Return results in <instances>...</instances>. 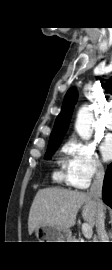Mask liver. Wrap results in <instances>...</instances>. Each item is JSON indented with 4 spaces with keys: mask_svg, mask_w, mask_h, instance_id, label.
I'll use <instances>...</instances> for the list:
<instances>
[{
    "mask_svg": "<svg viewBox=\"0 0 112 270\" xmlns=\"http://www.w3.org/2000/svg\"><path fill=\"white\" fill-rule=\"evenodd\" d=\"M81 207L84 221L93 227L97 207L89 193L62 188L40 189L30 208L28 232L32 234L37 227L47 225L69 229L75 225Z\"/></svg>",
    "mask_w": 112,
    "mask_h": 270,
    "instance_id": "1",
    "label": "liver"
}]
</instances>
